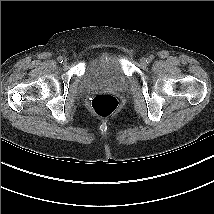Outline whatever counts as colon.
Returning <instances> with one entry per match:
<instances>
[{"instance_id":"obj_1","label":"colon","mask_w":214,"mask_h":214,"mask_svg":"<svg viewBox=\"0 0 214 214\" xmlns=\"http://www.w3.org/2000/svg\"><path fill=\"white\" fill-rule=\"evenodd\" d=\"M118 106L117 97L109 93L97 94L92 100V108L100 116L111 115Z\"/></svg>"}]
</instances>
